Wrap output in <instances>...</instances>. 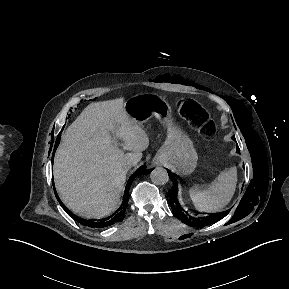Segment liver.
Returning <instances> with one entry per match:
<instances>
[{"label": "liver", "instance_id": "liver-1", "mask_svg": "<svg viewBox=\"0 0 289 289\" xmlns=\"http://www.w3.org/2000/svg\"><path fill=\"white\" fill-rule=\"evenodd\" d=\"M148 145L147 134L125 111L123 99L91 103L67 128L55 154L53 176L60 199L87 218L111 214L119 205L127 163L137 164Z\"/></svg>", "mask_w": 289, "mask_h": 289}]
</instances>
